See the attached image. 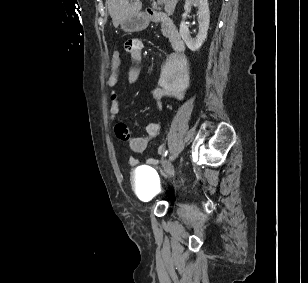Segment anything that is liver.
Returning <instances> with one entry per match:
<instances>
[{"label": "liver", "instance_id": "obj_1", "mask_svg": "<svg viewBox=\"0 0 308 283\" xmlns=\"http://www.w3.org/2000/svg\"><path fill=\"white\" fill-rule=\"evenodd\" d=\"M165 4V11L172 14L178 0H161ZM108 12L114 27H117L126 17L138 14L142 8L139 0H106Z\"/></svg>", "mask_w": 308, "mask_h": 283}]
</instances>
